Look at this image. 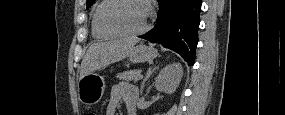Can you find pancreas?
<instances>
[{
	"mask_svg": "<svg viewBox=\"0 0 285 115\" xmlns=\"http://www.w3.org/2000/svg\"><path fill=\"white\" fill-rule=\"evenodd\" d=\"M141 74V70H130L117 74V78L126 82L137 81Z\"/></svg>",
	"mask_w": 285,
	"mask_h": 115,
	"instance_id": "pancreas-1",
	"label": "pancreas"
}]
</instances>
